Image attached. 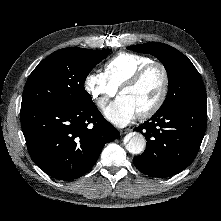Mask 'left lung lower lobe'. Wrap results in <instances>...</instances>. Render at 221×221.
I'll list each match as a JSON object with an SVG mask.
<instances>
[{
    "mask_svg": "<svg viewBox=\"0 0 221 221\" xmlns=\"http://www.w3.org/2000/svg\"><path fill=\"white\" fill-rule=\"evenodd\" d=\"M206 125V105H172L159 109L134 129L147 140L145 151L133 158L134 165L152 177L181 172L195 159Z\"/></svg>",
    "mask_w": 221,
    "mask_h": 221,
    "instance_id": "1",
    "label": "left lung lower lobe"
}]
</instances>
